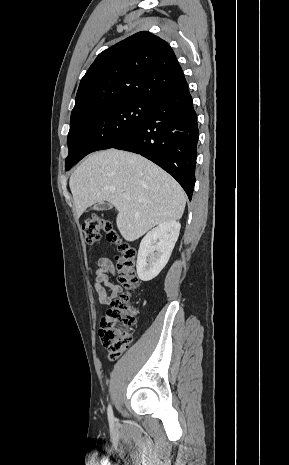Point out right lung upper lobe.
I'll list each match as a JSON object with an SVG mask.
<instances>
[{
	"instance_id": "obj_1",
	"label": "right lung upper lobe",
	"mask_w": 289,
	"mask_h": 465,
	"mask_svg": "<svg viewBox=\"0 0 289 465\" xmlns=\"http://www.w3.org/2000/svg\"><path fill=\"white\" fill-rule=\"evenodd\" d=\"M187 87L172 48L138 32L101 52L81 79L71 113L73 127L92 108L127 100L154 101Z\"/></svg>"
}]
</instances>
